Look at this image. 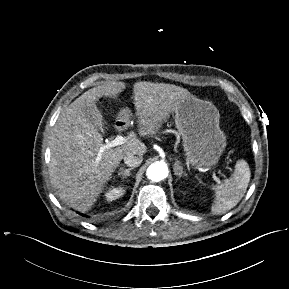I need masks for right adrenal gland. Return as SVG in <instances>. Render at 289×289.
Listing matches in <instances>:
<instances>
[{
  "instance_id": "obj_1",
  "label": "right adrenal gland",
  "mask_w": 289,
  "mask_h": 289,
  "mask_svg": "<svg viewBox=\"0 0 289 289\" xmlns=\"http://www.w3.org/2000/svg\"><path fill=\"white\" fill-rule=\"evenodd\" d=\"M133 168L124 169L123 167L120 168V172H118V176H122L123 178H127L130 176V171Z\"/></svg>"
}]
</instances>
